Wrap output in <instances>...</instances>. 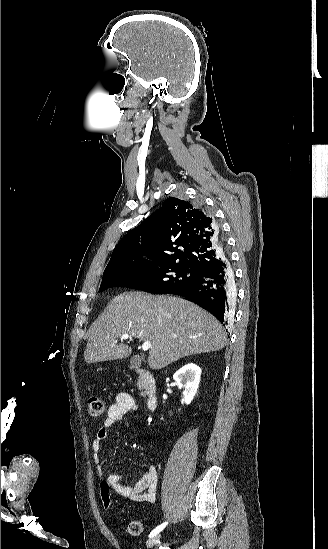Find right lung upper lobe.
Listing matches in <instances>:
<instances>
[{"mask_svg": "<svg viewBox=\"0 0 328 549\" xmlns=\"http://www.w3.org/2000/svg\"><path fill=\"white\" fill-rule=\"evenodd\" d=\"M143 256L199 271L223 259L226 249L214 218L188 201L168 198L121 239L106 269L127 260L148 261Z\"/></svg>", "mask_w": 328, "mask_h": 549, "instance_id": "obj_1", "label": "right lung upper lobe"}]
</instances>
